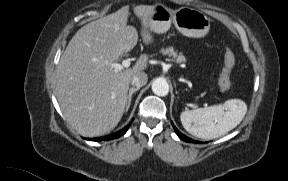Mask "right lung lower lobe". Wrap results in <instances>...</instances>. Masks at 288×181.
<instances>
[{
    "instance_id": "1",
    "label": "right lung lower lobe",
    "mask_w": 288,
    "mask_h": 181,
    "mask_svg": "<svg viewBox=\"0 0 288 181\" xmlns=\"http://www.w3.org/2000/svg\"><path fill=\"white\" fill-rule=\"evenodd\" d=\"M129 126H130V124L125 126L123 129H121L115 133H112L110 135L100 137V138L88 139V140H91V141H108V140H113V139L119 138L127 132V130L129 129Z\"/></svg>"
}]
</instances>
